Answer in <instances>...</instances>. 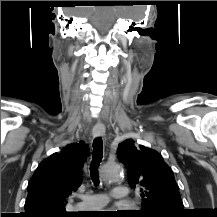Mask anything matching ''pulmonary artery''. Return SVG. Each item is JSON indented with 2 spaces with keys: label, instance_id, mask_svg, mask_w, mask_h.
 Segmentation results:
<instances>
[{
  "label": "pulmonary artery",
  "instance_id": "obj_1",
  "mask_svg": "<svg viewBox=\"0 0 217 217\" xmlns=\"http://www.w3.org/2000/svg\"><path fill=\"white\" fill-rule=\"evenodd\" d=\"M127 188L124 186H116L111 192L113 199H126ZM109 202V197L106 194H86L82 197V201L76 206L78 209L95 210L101 209Z\"/></svg>",
  "mask_w": 217,
  "mask_h": 217
}]
</instances>
